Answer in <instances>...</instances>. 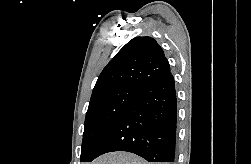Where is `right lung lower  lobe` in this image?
<instances>
[{"instance_id":"98d812e1","label":"right lung lower lobe","mask_w":251,"mask_h":164,"mask_svg":"<svg viewBox=\"0 0 251 164\" xmlns=\"http://www.w3.org/2000/svg\"><path fill=\"white\" fill-rule=\"evenodd\" d=\"M177 99L169 72L140 88L134 101L100 138L84 162L113 151L135 153L149 162H174Z\"/></svg>"}]
</instances>
